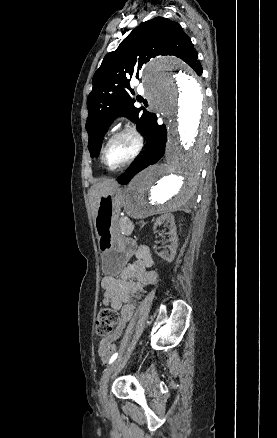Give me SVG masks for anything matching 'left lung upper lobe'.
Here are the masks:
<instances>
[{
	"mask_svg": "<svg viewBox=\"0 0 277 438\" xmlns=\"http://www.w3.org/2000/svg\"><path fill=\"white\" fill-rule=\"evenodd\" d=\"M158 55L176 56L198 75L202 74L198 53L177 22L156 17L135 28L115 51L104 57L92 79L86 122L88 149L92 157L98 156L104 134L116 116H126L145 133L148 132L150 118L155 114L135 107V100L128 91L134 94L130 80L138 78L143 65Z\"/></svg>",
	"mask_w": 277,
	"mask_h": 438,
	"instance_id": "1",
	"label": "left lung upper lobe"
}]
</instances>
